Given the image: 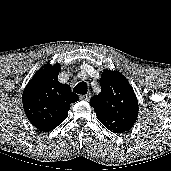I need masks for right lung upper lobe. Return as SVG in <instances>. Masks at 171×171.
Masks as SVG:
<instances>
[{
  "instance_id": "1",
  "label": "right lung upper lobe",
  "mask_w": 171,
  "mask_h": 171,
  "mask_svg": "<svg viewBox=\"0 0 171 171\" xmlns=\"http://www.w3.org/2000/svg\"><path fill=\"white\" fill-rule=\"evenodd\" d=\"M60 65L46 64L26 85L22 102L28 120L40 131H51L67 117L70 104L79 100L67 84L58 81Z\"/></svg>"
}]
</instances>
